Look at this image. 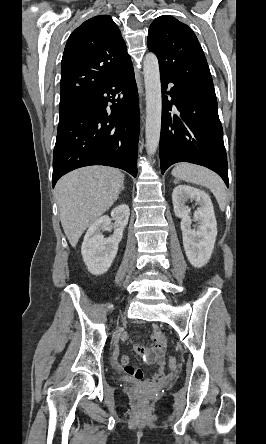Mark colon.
<instances>
[{
	"label": "colon",
	"mask_w": 266,
	"mask_h": 444,
	"mask_svg": "<svg viewBox=\"0 0 266 444\" xmlns=\"http://www.w3.org/2000/svg\"><path fill=\"white\" fill-rule=\"evenodd\" d=\"M168 366H169V368L172 369V370L176 369V368H177V361H176V359L173 358V357H170V358L168 359Z\"/></svg>",
	"instance_id": "obj_1"
}]
</instances>
